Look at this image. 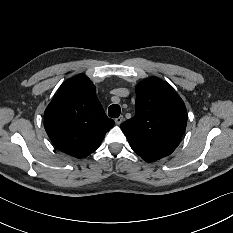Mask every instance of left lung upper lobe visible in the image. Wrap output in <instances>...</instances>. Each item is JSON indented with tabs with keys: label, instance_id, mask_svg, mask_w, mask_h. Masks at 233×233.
I'll return each mask as SVG.
<instances>
[{
	"label": "left lung upper lobe",
	"instance_id": "1",
	"mask_svg": "<svg viewBox=\"0 0 233 233\" xmlns=\"http://www.w3.org/2000/svg\"><path fill=\"white\" fill-rule=\"evenodd\" d=\"M187 124L184 102L158 78L136 86L135 116L121 124L131 148L153 160L170 155L179 145Z\"/></svg>",
	"mask_w": 233,
	"mask_h": 233
}]
</instances>
